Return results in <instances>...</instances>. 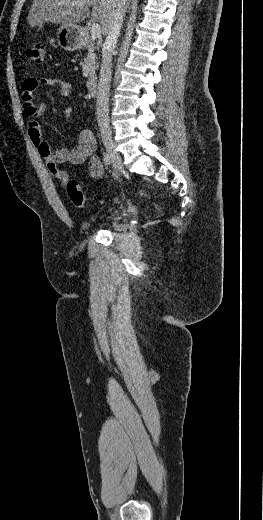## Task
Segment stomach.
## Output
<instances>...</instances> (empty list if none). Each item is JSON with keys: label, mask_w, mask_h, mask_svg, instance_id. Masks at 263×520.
<instances>
[{"label": "stomach", "mask_w": 263, "mask_h": 520, "mask_svg": "<svg viewBox=\"0 0 263 520\" xmlns=\"http://www.w3.org/2000/svg\"><path fill=\"white\" fill-rule=\"evenodd\" d=\"M58 44L66 51H75L82 46V29L76 24H62L57 32Z\"/></svg>", "instance_id": "obj_1"}]
</instances>
